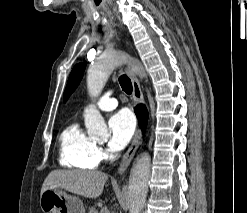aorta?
I'll use <instances>...</instances> for the list:
<instances>
[{
    "label": "aorta",
    "mask_w": 247,
    "mask_h": 213,
    "mask_svg": "<svg viewBox=\"0 0 247 213\" xmlns=\"http://www.w3.org/2000/svg\"><path fill=\"white\" fill-rule=\"evenodd\" d=\"M126 59L127 55L122 51H107L89 67L87 88L92 97H97L101 93L112 71ZM132 69L136 74L144 76L143 68L139 64H134ZM84 119L89 136L94 137L107 133L104 118L95 106L90 105L85 109ZM150 166L149 154L142 153L131 169L128 185L129 213H141L145 205Z\"/></svg>",
    "instance_id": "aorta-1"
}]
</instances>
